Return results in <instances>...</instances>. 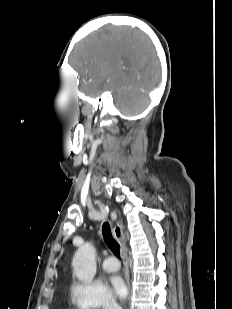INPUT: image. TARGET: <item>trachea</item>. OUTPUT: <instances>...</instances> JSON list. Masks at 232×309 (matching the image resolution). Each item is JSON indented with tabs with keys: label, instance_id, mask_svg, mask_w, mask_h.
Segmentation results:
<instances>
[{
	"label": "trachea",
	"instance_id": "1",
	"mask_svg": "<svg viewBox=\"0 0 232 309\" xmlns=\"http://www.w3.org/2000/svg\"><path fill=\"white\" fill-rule=\"evenodd\" d=\"M102 234L104 240L110 250L114 253L118 258L120 257V244L113 238L109 223H104L102 226Z\"/></svg>",
	"mask_w": 232,
	"mask_h": 309
}]
</instances>
